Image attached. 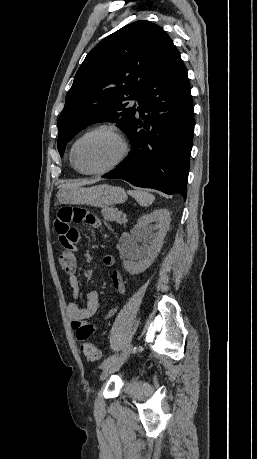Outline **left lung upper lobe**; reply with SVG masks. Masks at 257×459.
<instances>
[{
	"mask_svg": "<svg viewBox=\"0 0 257 459\" xmlns=\"http://www.w3.org/2000/svg\"><path fill=\"white\" fill-rule=\"evenodd\" d=\"M175 46L165 31L149 21H136L104 38L86 56L69 90L58 121V151L96 122H116L126 132L137 99Z\"/></svg>",
	"mask_w": 257,
	"mask_h": 459,
	"instance_id": "left-lung-upper-lobe-1",
	"label": "left lung upper lobe"
}]
</instances>
